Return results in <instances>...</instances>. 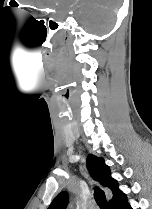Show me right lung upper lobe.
<instances>
[{"label": "right lung upper lobe", "mask_w": 152, "mask_h": 209, "mask_svg": "<svg viewBox=\"0 0 152 209\" xmlns=\"http://www.w3.org/2000/svg\"><path fill=\"white\" fill-rule=\"evenodd\" d=\"M87 166L90 173L104 187H108L113 192V195L119 190L118 182L110 175V168L104 163V160L94 155H89L87 158ZM68 203V193L61 192L58 194L48 209H65Z\"/></svg>", "instance_id": "obj_1"}]
</instances>
